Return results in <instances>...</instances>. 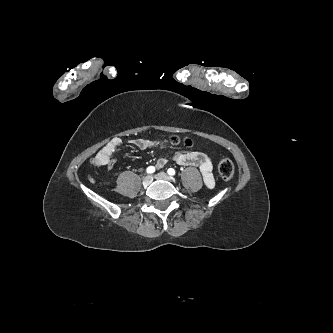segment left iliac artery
<instances>
[{
  "label": "left iliac artery",
  "instance_id": "44dca946",
  "mask_svg": "<svg viewBox=\"0 0 333 333\" xmlns=\"http://www.w3.org/2000/svg\"><path fill=\"white\" fill-rule=\"evenodd\" d=\"M167 172H168V174L171 175V176H172V175H175V173H176V171H175L173 168H169Z\"/></svg>",
  "mask_w": 333,
  "mask_h": 333
}]
</instances>
